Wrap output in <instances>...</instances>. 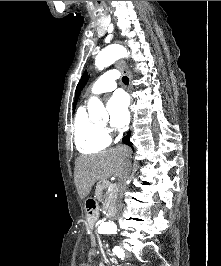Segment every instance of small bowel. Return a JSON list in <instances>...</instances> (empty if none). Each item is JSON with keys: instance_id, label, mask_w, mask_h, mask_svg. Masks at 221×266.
Instances as JSON below:
<instances>
[{"instance_id": "1", "label": "small bowel", "mask_w": 221, "mask_h": 266, "mask_svg": "<svg viewBox=\"0 0 221 266\" xmlns=\"http://www.w3.org/2000/svg\"><path fill=\"white\" fill-rule=\"evenodd\" d=\"M96 254V243L94 240H92V248L89 252L90 257L94 256ZM99 266H105L104 264H100Z\"/></svg>"}]
</instances>
